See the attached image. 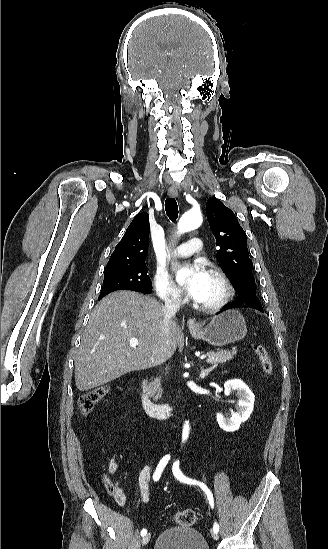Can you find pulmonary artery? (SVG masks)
I'll return each mask as SVG.
<instances>
[{"label":"pulmonary artery","mask_w":328,"mask_h":549,"mask_svg":"<svg viewBox=\"0 0 328 549\" xmlns=\"http://www.w3.org/2000/svg\"><path fill=\"white\" fill-rule=\"evenodd\" d=\"M187 246H177L174 250L175 255L178 258L192 257L195 252H203L206 245L199 237H189L187 239Z\"/></svg>","instance_id":"pulmonary-artery-1"}]
</instances>
